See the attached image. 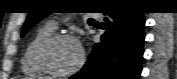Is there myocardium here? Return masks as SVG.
I'll return each instance as SVG.
<instances>
[{
    "mask_svg": "<svg viewBox=\"0 0 177 79\" xmlns=\"http://www.w3.org/2000/svg\"><path fill=\"white\" fill-rule=\"evenodd\" d=\"M64 40H69V41H73L74 43L77 44L78 48H79V52H80V58H79V62L77 63V65L72 68L69 69L67 71H58L56 69H54L48 62L46 59V52L48 50V48L55 44L58 43L60 41H64ZM35 61L37 63V65L47 74L50 75H54V76H61V77H66V76H70L76 72H78L84 65L85 63V54L83 51V48L80 44V42L78 41V39L71 35V34H53L51 36H49L48 38H46L45 40H43L39 46L36 49L35 52Z\"/></svg>",
    "mask_w": 177,
    "mask_h": 79,
    "instance_id": "myocardium-1",
    "label": "myocardium"
}]
</instances>
